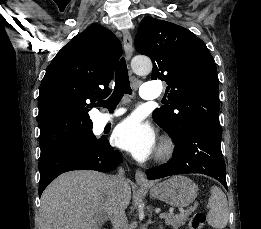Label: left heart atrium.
I'll use <instances>...</instances> for the list:
<instances>
[{"label": "left heart atrium", "mask_w": 261, "mask_h": 229, "mask_svg": "<svg viewBox=\"0 0 261 229\" xmlns=\"http://www.w3.org/2000/svg\"><path fill=\"white\" fill-rule=\"evenodd\" d=\"M112 140L117 147L131 152L139 159L151 155L157 144L154 127L137 116H131L118 124Z\"/></svg>", "instance_id": "1"}]
</instances>
